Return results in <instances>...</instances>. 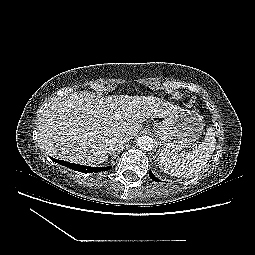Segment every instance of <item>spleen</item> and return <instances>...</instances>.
Segmentation results:
<instances>
[{"label":"spleen","mask_w":255,"mask_h":255,"mask_svg":"<svg viewBox=\"0 0 255 255\" xmlns=\"http://www.w3.org/2000/svg\"><path fill=\"white\" fill-rule=\"evenodd\" d=\"M216 145L215 132L209 127L204 141L191 153H174L169 150L159 154V167L175 177H189L198 174L210 160Z\"/></svg>","instance_id":"spleen-1"}]
</instances>
